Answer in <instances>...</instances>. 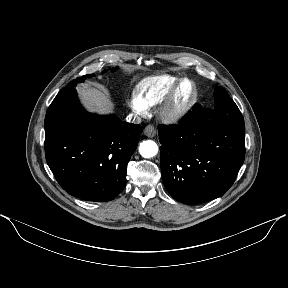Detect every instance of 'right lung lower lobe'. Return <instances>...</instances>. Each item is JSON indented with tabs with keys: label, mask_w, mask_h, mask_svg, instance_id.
<instances>
[{
	"label": "right lung lower lobe",
	"mask_w": 288,
	"mask_h": 288,
	"mask_svg": "<svg viewBox=\"0 0 288 288\" xmlns=\"http://www.w3.org/2000/svg\"><path fill=\"white\" fill-rule=\"evenodd\" d=\"M140 125L87 113L76 90L55 98L45 117L46 161L60 186L87 201L114 199L126 184Z\"/></svg>",
	"instance_id": "98d812e1"
}]
</instances>
